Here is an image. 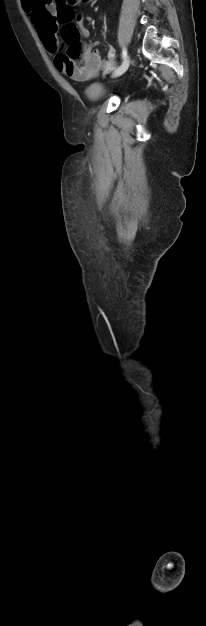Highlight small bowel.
I'll return each instance as SVG.
<instances>
[{"label":"small bowel","instance_id":"1","mask_svg":"<svg viewBox=\"0 0 206 626\" xmlns=\"http://www.w3.org/2000/svg\"><path fill=\"white\" fill-rule=\"evenodd\" d=\"M38 8L28 5L27 11L31 15L39 37L46 47L52 53L57 50V25L60 19L59 13L55 5L49 0H39ZM77 24L80 27V34L83 37L89 36V31L84 27L85 16L79 13L76 17ZM116 56L114 47L108 46L106 57L103 58L99 50L90 51L83 64L79 65L67 59L63 54L56 53L54 57L55 67L65 76L77 82H86L95 78L100 71L108 70L112 65Z\"/></svg>","mask_w":206,"mask_h":626}]
</instances>
